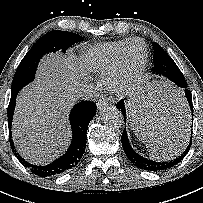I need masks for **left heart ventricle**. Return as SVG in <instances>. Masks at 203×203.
Listing matches in <instances>:
<instances>
[{
    "label": "left heart ventricle",
    "instance_id": "b2bd125f",
    "mask_svg": "<svg viewBox=\"0 0 203 203\" xmlns=\"http://www.w3.org/2000/svg\"><path fill=\"white\" fill-rule=\"evenodd\" d=\"M144 50L141 44H133L127 55L126 68L128 71H133L143 60Z\"/></svg>",
    "mask_w": 203,
    "mask_h": 203
}]
</instances>
